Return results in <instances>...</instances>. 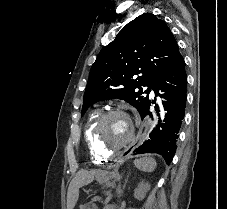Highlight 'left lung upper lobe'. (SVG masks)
Returning a JSON list of instances; mask_svg holds the SVG:
<instances>
[{"label":"left lung upper lobe","instance_id":"1","mask_svg":"<svg viewBox=\"0 0 227 209\" xmlns=\"http://www.w3.org/2000/svg\"><path fill=\"white\" fill-rule=\"evenodd\" d=\"M176 40L167 24L144 13L104 47L92 65L83 97L81 116L101 100L122 99L139 113L146 108L149 93L179 56ZM134 75H139L133 79ZM143 87H148L143 91Z\"/></svg>","mask_w":227,"mask_h":209}]
</instances>
